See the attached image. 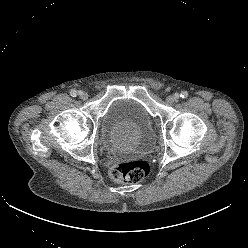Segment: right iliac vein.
Listing matches in <instances>:
<instances>
[{
    "label": "right iliac vein",
    "mask_w": 248,
    "mask_h": 248,
    "mask_svg": "<svg viewBox=\"0 0 248 248\" xmlns=\"http://www.w3.org/2000/svg\"><path fill=\"white\" fill-rule=\"evenodd\" d=\"M80 98L86 100L88 98V94L86 92L80 91L79 92Z\"/></svg>",
    "instance_id": "1"
}]
</instances>
